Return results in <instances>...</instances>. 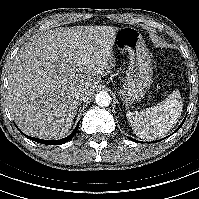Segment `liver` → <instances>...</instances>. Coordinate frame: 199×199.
Returning <instances> with one entry per match:
<instances>
[{"label":"liver","mask_w":199,"mask_h":199,"mask_svg":"<svg viewBox=\"0 0 199 199\" xmlns=\"http://www.w3.org/2000/svg\"><path fill=\"white\" fill-rule=\"evenodd\" d=\"M119 29L57 28L20 49L8 76L7 94L11 115L26 134L60 139L69 132L80 104L71 92L82 89L87 102L101 77L112 71Z\"/></svg>","instance_id":"6515ba94"}]
</instances>
